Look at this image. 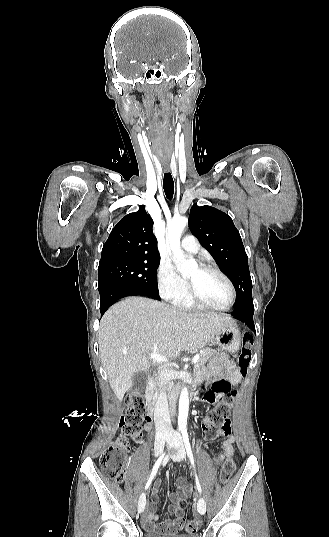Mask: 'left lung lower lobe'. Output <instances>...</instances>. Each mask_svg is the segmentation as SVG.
I'll list each match as a JSON object with an SVG mask.
<instances>
[{
	"label": "left lung lower lobe",
	"instance_id": "1",
	"mask_svg": "<svg viewBox=\"0 0 329 537\" xmlns=\"http://www.w3.org/2000/svg\"><path fill=\"white\" fill-rule=\"evenodd\" d=\"M236 319L242 321L243 323L247 324L254 332H255V326L253 322V314L254 309H240V310H233L231 313Z\"/></svg>",
	"mask_w": 329,
	"mask_h": 537
}]
</instances>
